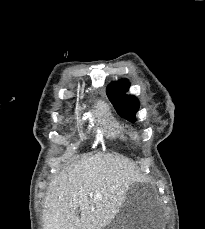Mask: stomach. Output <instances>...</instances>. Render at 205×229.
Wrapping results in <instances>:
<instances>
[{
    "mask_svg": "<svg viewBox=\"0 0 205 229\" xmlns=\"http://www.w3.org/2000/svg\"><path fill=\"white\" fill-rule=\"evenodd\" d=\"M164 206L154 197L128 195L119 212L102 229H165Z\"/></svg>",
    "mask_w": 205,
    "mask_h": 229,
    "instance_id": "obj_1",
    "label": "stomach"
}]
</instances>
